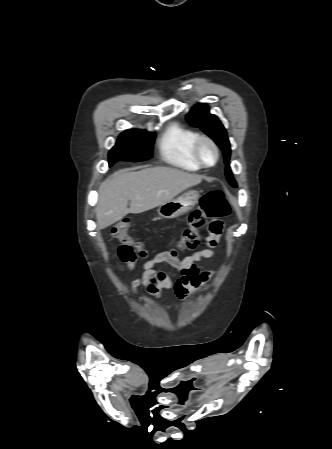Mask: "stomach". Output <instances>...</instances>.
I'll return each instance as SVG.
<instances>
[{
  "label": "stomach",
  "mask_w": 332,
  "mask_h": 449,
  "mask_svg": "<svg viewBox=\"0 0 332 449\" xmlns=\"http://www.w3.org/2000/svg\"><path fill=\"white\" fill-rule=\"evenodd\" d=\"M199 197L198 191H187L178 198L160 205L157 210L158 215L166 219H172L186 214L195 207L199 201Z\"/></svg>",
  "instance_id": "obj_1"
}]
</instances>
